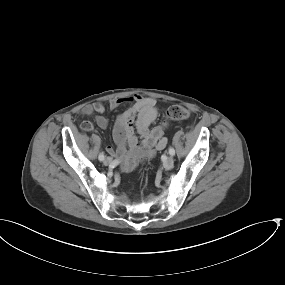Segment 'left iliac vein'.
I'll return each instance as SVG.
<instances>
[{
    "label": "left iliac vein",
    "instance_id": "left-iliac-vein-1",
    "mask_svg": "<svg viewBox=\"0 0 285 285\" xmlns=\"http://www.w3.org/2000/svg\"><path fill=\"white\" fill-rule=\"evenodd\" d=\"M174 159L172 156H169L163 163L165 169L170 170L173 167Z\"/></svg>",
    "mask_w": 285,
    "mask_h": 285
}]
</instances>
